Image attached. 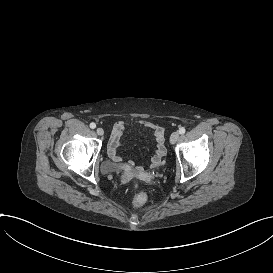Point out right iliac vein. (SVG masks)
Instances as JSON below:
<instances>
[{"instance_id": "obj_1", "label": "right iliac vein", "mask_w": 273, "mask_h": 273, "mask_svg": "<svg viewBox=\"0 0 273 273\" xmlns=\"http://www.w3.org/2000/svg\"><path fill=\"white\" fill-rule=\"evenodd\" d=\"M96 133L99 135V136H102L104 135V130L102 128H97L96 129Z\"/></svg>"}]
</instances>
